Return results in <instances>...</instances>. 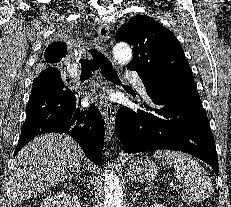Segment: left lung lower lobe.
<instances>
[{"mask_svg": "<svg viewBox=\"0 0 231 207\" xmlns=\"http://www.w3.org/2000/svg\"><path fill=\"white\" fill-rule=\"evenodd\" d=\"M143 83L158 108L140 102L153 113L135 112L126 107L118 111L115 132L124 151H183L208 163L218 176L214 137L197 91L164 97L150 91L156 87L155 79L143 80Z\"/></svg>", "mask_w": 231, "mask_h": 207, "instance_id": "obj_1", "label": "left lung lower lobe"}]
</instances>
